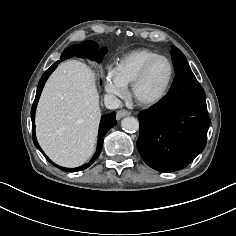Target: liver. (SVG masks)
<instances>
[{"label":"liver","mask_w":236,"mask_h":236,"mask_svg":"<svg viewBox=\"0 0 236 236\" xmlns=\"http://www.w3.org/2000/svg\"><path fill=\"white\" fill-rule=\"evenodd\" d=\"M101 112L95 75L85 64L64 62L49 77L36 110V136L56 164L77 167L93 154Z\"/></svg>","instance_id":"6515ba94"}]
</instances>
